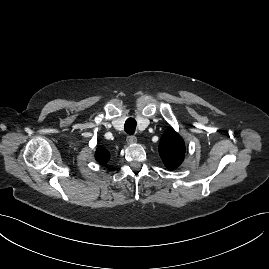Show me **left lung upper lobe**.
Returning <instances> with one entry per match:
<instances>
[{"label":"left lung upper lobe","instance_id":"obj_1","mask_svg":"<svg viewBox=\"0 0 269 269\" xmlns=\"http://www.w3.org/2000/svg\"><path fill=\"white\" fill-rule=\"evenodd\" d=\"M159 154L169 169H175L182 163L185 155V144L173 128H168L162 135Z\"/></svg>","mask_w":269,"mask_h":269}]
</instances>
